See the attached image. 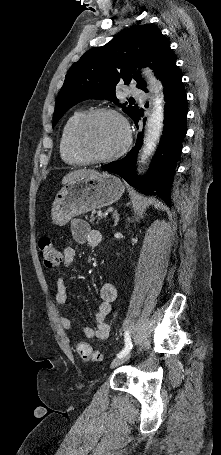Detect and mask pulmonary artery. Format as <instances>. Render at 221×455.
Wrapping results in <instances>:
<instances>
[{
    "label": "pulmonary artery",
    "mask_w": 221,
    "mask_h": 455,
    "mask_svg": "<svg viewBox=\"0 0 221 455\" xmlns=\"http://www.w3.org/2000/svg\"><path fill=\"white\" fill-rule=\"evenodd\" d=\"M128 93L134 97H140L144 95L143 91L135 86H131L128 90Z\"/></svg>",
    "instance_id": "e3ab8cb5"
}]
</instances>
